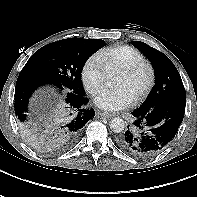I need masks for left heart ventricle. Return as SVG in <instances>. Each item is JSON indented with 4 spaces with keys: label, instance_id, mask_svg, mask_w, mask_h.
Wrapping results in <instances>:
<instances>
[{
    "label": "left heart ventricle",
    "instance_id": "left-heart-ventricle-1",
    "mask_svg": "<svg viewBox=\"0 0 197 197\" xmlns=\"http://www.w3.org/2000/svg\"><path fill=\"white\" fill-rule=\"evenodd\" d=\"M147 81L148 72L144 69L134 77H126L119 74L116 80V86L126 88L135 98L144 89Z\"/></svg>",
    "mask_w": 197,
    "mask_h": 197
}]
</instances>
